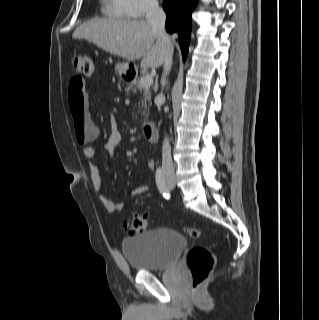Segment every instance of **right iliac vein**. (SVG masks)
I'll return each mask as SVG.
<instances>
[{
    "label": "right iliac vein",
    "mask_w": 319,
    "mask_h": 320,
    "mask_svg": "<svg viewBox=\"0 0 319 320\" xmlns=\"http://www.w3.org/2000/svg\"><path fill=\"white\" fill-rule=\"evenodd\" d=\"M168 183L169 184H173L174 183V179H168Z\"/></svg>",
    "instance_id": "right-iliac-vein-1"
}]
</instances>
